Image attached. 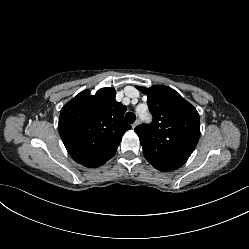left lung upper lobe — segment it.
<instances>
[{"mask_svg": "<svg viewBox=\"0 0 249 249\" xmlns=\"http://www.w3.org/2000/svg\"><path fill=\"white\" fill-rule=\"evenodd\" d=\"M148 97L153 122L135 128L143 154L156 169L175 170L188 160L200 137L197 110L174 89L137 87Z\"/></svg>", "mask_w": 249, "mask_h": 249, "instance_id": "1", "label": "left lung upper lobe"}]
</instances>
